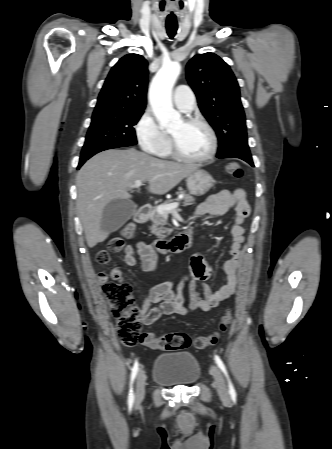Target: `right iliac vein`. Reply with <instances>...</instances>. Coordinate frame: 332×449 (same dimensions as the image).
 <instances>
[{
	"mask_svg": "<svg viewBox=\"0 0 332 449\" xmlns=\"http://www.w3.org/2000/svg\"><path fill=\"white\" fill-rule=\"evenodd\" d=\"M146 374L143 369L140 370L136 380L135 400L136 404H140L145 396Z\"/></svg>",
	"mask_w": 332,
	"mask_h": 449,
	"instance_id": "63e3f726",
	"label": "right iliac vein"
}]
</instances>
